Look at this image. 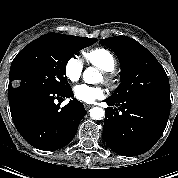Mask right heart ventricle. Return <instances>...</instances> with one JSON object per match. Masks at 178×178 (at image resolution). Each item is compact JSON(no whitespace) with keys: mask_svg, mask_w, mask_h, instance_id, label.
I'll list each match as a JSON object with an SVG mask.
<instances>
[{"mask_svg":"<svg viewBox=\"0 0 178 178\" xmlns=\"http://www.w3.org/2000/svg\"><path fill=\"white\" fill-rule=\"evenodd\" d=\"M86 61L103 70V71H113L116 67V58L112 52L105 48H94L86 51L84 53Z\"/></svg>","mask_w":178,"mask_h":178,"instance_id":"right-heart-ventricle-1","label":"right heart ventricle"}]
</instances>
